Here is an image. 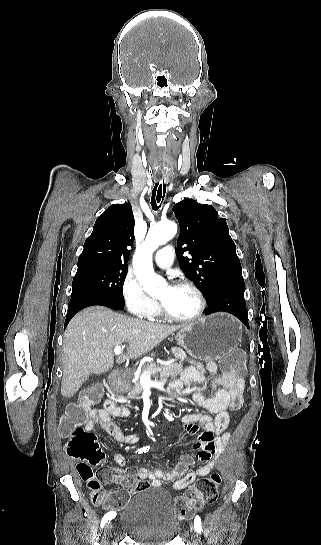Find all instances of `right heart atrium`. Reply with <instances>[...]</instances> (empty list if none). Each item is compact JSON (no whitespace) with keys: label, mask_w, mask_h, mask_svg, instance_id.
<instances>
[{"label":"right heart atrium","mask_w":321,"mask_h":545,"mask_svg":"<svg viewBox=\"0 0 321 545\" xmlns=\"http://www.w3.org/2000/svg\"><path fill=\"white\" fill-rule=\"evenodd\" d=\"M121 296L127 311L139 319H152L159 309L155 302L146 297L140 277L131 272L121 284Z\"/></svg>","instance_id":"right-heart-atrium-1"}]
</instances>
